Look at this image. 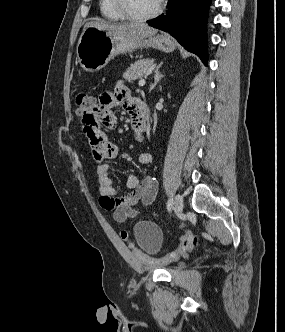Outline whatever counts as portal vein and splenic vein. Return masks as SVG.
Returning a JSON list of instances; mask_svg holds the SVG:
<instances>
[{
  "instance_id": "obj_1",
  "label": "portal vein and splenic vein",
  "mask_w": 285,
  "mask_h": 332,
  "mask_svg": "<svg viewBox=\"0 0 285 332\" xmlns=\"http://www.w3.org/2000/svg\"><path fill=\"white\" fill-rule=\"evenodd\" d=\"M147 75H148V73L145 75V78H146ZM145 83H146V80H145V79H140V80H139V86H140V87L144 86Z\"/></svg>"
}]
</instances>
